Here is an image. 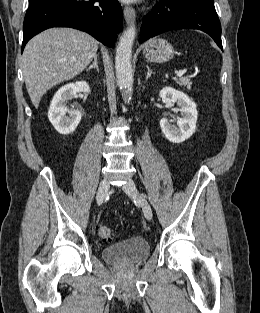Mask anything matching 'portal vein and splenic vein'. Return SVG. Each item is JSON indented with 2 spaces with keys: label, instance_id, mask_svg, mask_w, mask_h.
<instances>
[{
  "label": "portal vein and splenic vein",
  "instance_id": "1",
  "mask_svg": "<svg viewBox=\"0 0 260 313\" xmlns=\"http://www.w3.org/2000/svg\"><path fill=\"white\" fill-rule=\"evenodd\" d=\"M185 72H186V70H179L177 72V77H181Z\"/></svg>",
  "mask_w": 260,
  "mask_h": 313
}]
</instances>
